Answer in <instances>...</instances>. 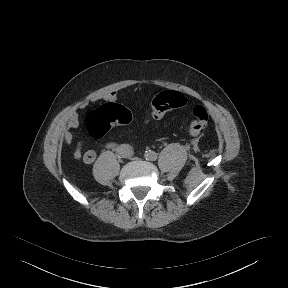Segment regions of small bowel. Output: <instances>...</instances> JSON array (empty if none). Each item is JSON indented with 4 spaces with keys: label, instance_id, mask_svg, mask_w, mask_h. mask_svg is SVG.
<instances>
[{
    "label": "small bowel",
    "instance_id": "obj_1",
    "mask_svg": "<svg viewBox=\"0 0 288 288\" xmlns=\"http://www.w3.org/2000/svg\"><path fill=\"white\" fill-rule=\"evenodd\" d=\"M75 158L81 157V147L78 146L74 153ZM96 159V152L94 150H87L83 154V160L86 164H92Z\"/></svg>",
    "mask_w": 288,
    "mask_h": 288
}]
</instances>
